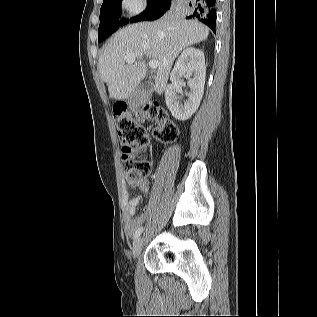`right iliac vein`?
<instances>
[{
  "label": "right iliac vein",
  "instance_id": "63e3f726",
  "mask_svg": "<svg viewBox=\"0 0 317 317\" xmlns=\"http://www.w3.org/2000/svg\"><path fill=\"white\" fill-rule=\"evenodd\" d=\"M143 243H144V238L143 237H139L135 242H134V245H133V249H132V256L133 258H137L141 251H142V248H143Z\"/></svg>",
  "mask_w": 317,
  "mask_h": 317
}]
</instances>
